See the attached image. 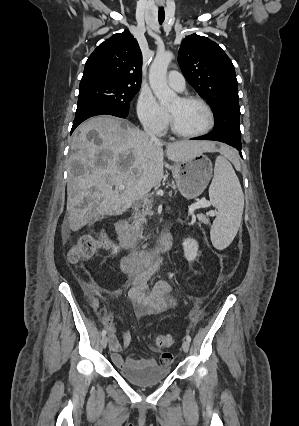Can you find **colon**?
I'll return each mask as SVG.
<instances>
[{
  "label": "colon",
  "mask_w": 299,
  "mask_h": 426,
  "mask_svg": "<svg viewBox=\"0 0 299 426\" xmlns=\"http://www.w3.org/2000/svg\"><path fill=\"white\" fill-rule=\"evenodd\" d=\"M106 245L107 239L105 236H83L69 250L68 257L71 262H76L81 258L92 256ZM153 340L158 348L170 347L174 344V338L171 335H156Z\"/></svg>",
  "instance_id": "5ec220e1"
}]
</instances>
